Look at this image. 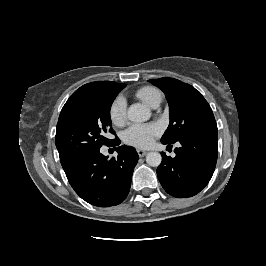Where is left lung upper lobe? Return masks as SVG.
Segmentation results:
<instances>
[{"instance_id": "5c2ea615", "label": "left lung upper lobe", "mask_w": 266, "mask_h": 266, "mask_svg": "<svg viewBox=\"0 0 266 266\" xmlns=\"http://www.w3.org/2000/svg\"><path fill=\"white\" fill-rule=\"evenodd\" d=\"M166 95L170 107V123L161 142L174 144L202 132H218L210 105L193 86L164 77L149 80Z\"/></svg>"}]
</instances>
